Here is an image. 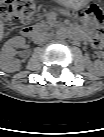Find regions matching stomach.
Here are the masks:
<instances>
[{
	"mask_svg": "<svg viewBox=\"0 0 104 137\" xmlns=\"http://www.w3.org/2000/svg\"><path fill=\"white\" fill-rule=\"evenodd\" d=\"M61 2H63L65 5L67 6H79L80 5V1L79 0H60Z\"/></svg>",
	"mask_w": 104,
	"mask_h": 137,
	"instance_id": "0dacf381",
	"label": "stomach"
}]
</instances>
